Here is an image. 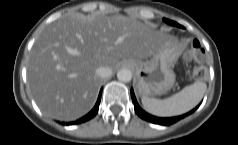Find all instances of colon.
<instances>
[{"mask_svg":"<svg viewBox=\"0 0 238 145\" xmlns=\"http://www.w3.org/2000/svg\"><path fill=\"white\" fill-rule=\"evenodd\" d=\"M187 57L195 62L201 63L205 59V50L199 40H193L188 51ZM208 75L205 67H197L192 74L195 80H204Z\"/></svg>","mask_w":238,"mask_h":145,"instance_id":"1","label":"colon"}]
</instances>
